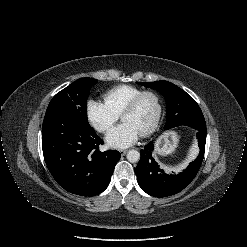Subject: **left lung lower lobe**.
Listing matches in <instances>:
<instances>
[{
    "instance_id": "left-lung-lower-lobe-1",
    "label": "left lung lower lobe",
    "mask_w": 247,
    "mask_h": 247,
    "mask_svg": "<svg viewBox=\"0 0 247 247\" xmlns=\"http://www.w3.org/2000/svg\"><path fill=\"white\" fill-rule=\"evenodd\" d=\"M200 149L198 157L183 170L172 175L161 169L152 156L153 142L148 143L141 150V158L136 167V175L141 189L154 197H166L182 191L195 178L203 161L206 144V125L197 126L192 130Z\"/></svg>"
}]
</instances>
